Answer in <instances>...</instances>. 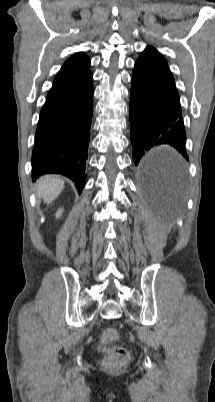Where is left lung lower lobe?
<instances>
[{
  "instance_id": "1",
  "label": "left lung lower lobe",
  "mask_w": 215,
  "mask_h": 402,
  "mask_svg": "<svg viewBox=\"0 0 215 402\" xmlns=\"http://www.w3.org/2000/svg\"><path fill=\"white\" fill-rule=\"evenodd\" d=\"M129 114L135 165H141L143 176L166 196L162 202L170 205L176 189L159 184L158 173L149 168L148 162H142L147 151L162 145L175 148L188 160L179 95L168 65L143 57L137 59Z\"/></svg>"
}]
</instances>
